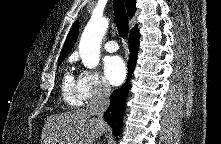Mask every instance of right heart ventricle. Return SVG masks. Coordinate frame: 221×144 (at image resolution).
<instances>
[{
  "label": "right heart ventricle",
  "mask_w": 221,
  "mask_h": 144,
  "mask_svg": "<svg viewBox=\"0 0 221 144\" xmlns=\"http://www.w3.org/2000/svg\"><path fill=\"white\" fill-rule=\"evenodd\" d=\"M61 94L64 102L71 107H78L83 102L79 92L78 79H75L71 71L64 74Z\"/></svg>",
  "instance_id": "e07e8e85"
}]
</instances>
